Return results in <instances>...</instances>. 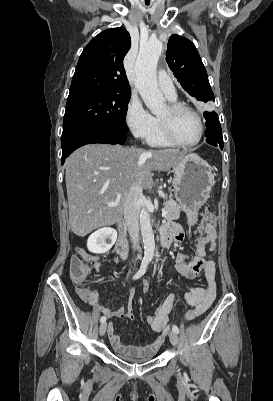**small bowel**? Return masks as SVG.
Segmentation results:
<instances>
[{
  "label": "small bowel",
  "instance_id": "c3829d8e",
  "mask_svg": "<svg viewBox=\"0 0 273 401\" xmlns=\"http://www.w3.org/2000/svg\"><path fill=\"white\" fill-rule=\"evenodd\" d=\"M205 221L206 224L199 229L200 237L197 239L194 252L191 254H178L175 260V267L180 274L188 278L191 271H198L200 276H203L205 284L182 294L169 295L159 305L153 315L147 316L146 321L148 325L156 333H164L166 331L178 300H183L190 307L185 315L186 320H191L202 315L215 300L217 290L216 264L213 260L207 258V248L208 246L213 247L216 241L215 223L217 218L215 215H207ZM163 232L169 235L172 240L184 236V229L176 228L173 225L166 226ZM85 257L96 262V269L100 268L101 261L96 256L86 255ZM127 292L131 301L135 294V289L129 286ZM75 301L77 304H89L108 321V338L115 351L120 354H134L139 357L152 356L158 349V345H164L166 342L164 336H157L155 339L156 343H151L140 348H133L121 341L119 334L115 331V324L111 319L133 320L134 313L131 302H129L126 311L123 307L117 309L107 308L101 304L100 291L95 290V286H90V290H78Z\"/></svg>",
  "mask_w": 273,
  "mask_h": 401
}]
</instances>
